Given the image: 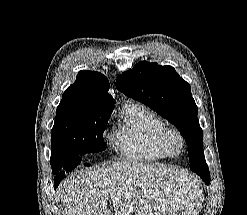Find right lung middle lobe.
Listing matches in <instances>:
<instances>
[{"mask_svg": "<svg viewBox=\"0 0 247 215\" xmlns=\"http://www.w3.org/2000/svg\"><path fill=\"white\" fill-rule=\"evenodd\" d=\"M112 113L87 104L73 94H63L52 128L51 166L53 173L78 165L74 157L83 159L106 148L103 132Z\"/></svg>", "mask_w": 247, "mask_h": 215, "instance_id": "obj_1", "label": "right lung middle lobe"}]
</instances>
